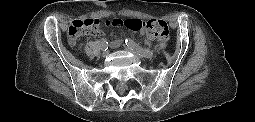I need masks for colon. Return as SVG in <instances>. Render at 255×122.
Returning a JSON list of instances; mask_svg holds the SVG:
<instances>
[{"mask_svg": "<svg viewBox=\"0 0 255 122\" xmlns=\"http://www.w3.org/2000/svg\"><path fill=\"white\" fill-rule=\"evenodd\" d=\"M100 21L97 19L75 20L68 28L69 38L74 41L83 33L95 32L98 30ZM108 27L120 26L132 31H145L149 37L159 41H166L169 37V27L164 20L151 19L141 20L137 18H118L106 21Z\"/></svg>", "mask_w": 255, "mask_h": 122, "instance_id": "1", "label": "colon"}]
</instances>
